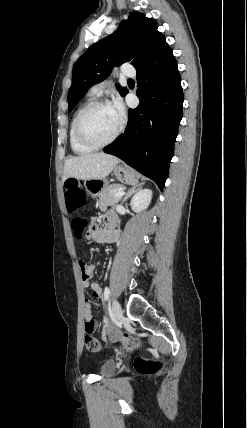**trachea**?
I'll return each mask as SVG.
<instances>
[{"label": "trachea", "mask_w": 247, "mask_h": 428, "mask_svg": "<svg viewBox=\"0 0 247 428\" xmlns=\"http://www.w3.org/2000/svg\"><path fill=\"white\" fill-rule=\"evenodd\" d=\"M128 81H129V82H133V80H132V79H128Z\"/></svg>", "instance_id": "obj_1"}]
</instances>
